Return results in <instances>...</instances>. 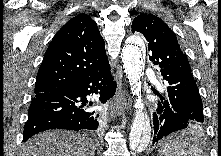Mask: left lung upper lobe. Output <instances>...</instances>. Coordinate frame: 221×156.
<instances>
[{
  "label": "left lung upper lobe",
  "instance_id": "obj_1",
  "mask_svg": "<svg viewBox=\"0 0 221 156\" xmlns=\"http://www.w3.org/2000/svg\"><path fill=\"white\" fill-rule=\"evenodd\" d=\"M134 32L142 33L148 41L149 59L159 68L171 107L196 124L203 123L202 100L189 61L174 32L160 18L149 13L134 18Z\"/></svg>",
  "mask_w": 221,
  "mask_h": 156
}]
</instances>
